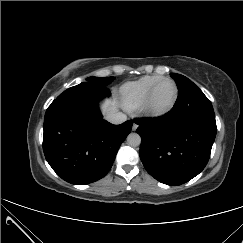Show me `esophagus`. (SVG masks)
I'll list each match as a JSON object with an SVG mask.
<instances>
[{
  "label": "esophagus",
  "instance_id": "esophagus-1",
  "mask_svg": "<svg viewBox=\"0 0 243 243\" xmlns=\"http://www.w3.org/2000/svg\"><path fill=\"white\" fill-rule=\"evenodd\" d=\"M137 128H138V125H137V123L134 121L133 126H132V130H133V131H136Z\"/></svg>",
  "mask_w": 243,
  "mask_h": 243
}]
</instances>
